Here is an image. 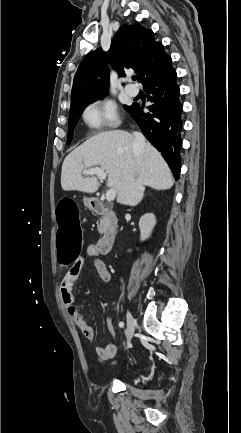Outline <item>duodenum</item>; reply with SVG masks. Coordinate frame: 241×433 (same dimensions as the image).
<instances>
[{
  "mask_svg": "<svg viewBox=\"0 0 241 433\" xmlns=\"http://www.w3.org/2000/svg\"><path fill=\"white\" fill-rule=\"evenodd\" d=\"M88 205L92 212L103 215L105 218V230L97 242V248L99 253L107 255L112 250L117 236L115 213L97 198L89 199Z\"/></svg>",
  "mask_w": 241,
  "mask_h": 433,
  "instance_id": "obj_1",
  "label": "duodenum"
}]
</instances>
